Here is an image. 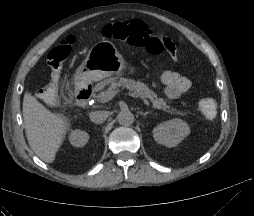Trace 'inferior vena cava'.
<instances>
[{"label": "inferior vena cava", "instance_id": "1", "mask_svg": "<svg viewBox=\"0 0 254 216\" xmlns=\"http://www.w3.org/2000/svg\"><path fill=\"white\" fill-rule=\"evenodd\" d=\"M89 117L93 123L101 124L107 119L108 113L106 111H94L89 114Z\"/></svg>", "mask_w": 254, "mask_h": 216}]
</instances>
